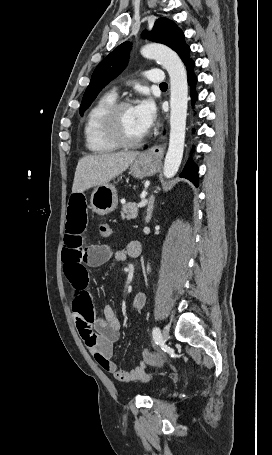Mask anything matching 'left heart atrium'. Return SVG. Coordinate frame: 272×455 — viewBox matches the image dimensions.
Here are the masks:
<instances>
[{
    "label": "left heart atrium",
    "instance_id": "39dd6f15",
    "mask_svg": "<svg viewBox=\"0 0 272 455\" xmlns=\"http://www.w3.org/2000/svg\"><path fill=\"white\" fill-rule=\"evenodd\" d=\"M142 130L146 133L156 120V107L152 99L145 98L134 107Z\"/></svg>",
    "mask_w": 272,
    "mask_h": 455
}]
</instances>
